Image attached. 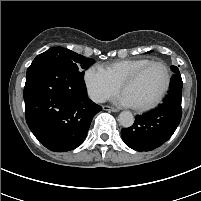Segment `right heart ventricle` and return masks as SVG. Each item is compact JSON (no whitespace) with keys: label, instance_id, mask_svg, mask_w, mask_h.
<instances>
[{"label":"right heart ventricle","instance_id":"right-heart-ventricle-1","mask_svg":"<svg viewBox=\"0 0 201 201\" xmlns=\"http://www.w3.org/2000/svg\"><path fill=\"white\" fill-rule=\"evenodd\" d=\"M150 61L148 58L119 60L106 65L104 68L114 82L120 86L125 78Z\"/></svg>","mask_w":201,"mask_h":201}]
</instances>
